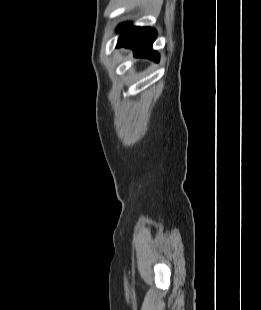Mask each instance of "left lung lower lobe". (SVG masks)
I'll list each match as a JSON object with an SVG mask.
<instances>
[{
    "instance_id": "1",
    "label": "left lung lower lobe",
    "mask_w": 261,
    "mask_h": 310,
    "mask_svg": "<svg viewBox=\"0 0 261 310\" xmlns=\"http://www.w3.org/2000/svg\"><path fill=\"white\" fill-rule=\"evenodd\" d=\"M121 32L117 46L131 48L137 56L150 58L154 61L159 60V55L152 50V44L157 36L154 29L123 25Z\"/></svg>"
}]
</instances>
